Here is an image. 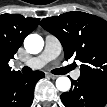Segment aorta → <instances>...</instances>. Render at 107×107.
Segmentation results:
<instances>
[{
  "label": "aorta",
  "mask_w": 107,
  "mask_h": 107,
  "mask_svg": "<svg viewBox=\"0 0 107 107\" xmlns=\"http://www.w3.org/2000/svg\"><path fill=\"white\" fill-rule=\"evenodd\" d=\"M24 47L30 54H38L44 47V40L38 34H30L24 40ZM56 87L61 92H67L71 88V81L66 76H60L56 80Z\"/></svg>",
  "instance_id": "762f6f07"
}]
</instances>
